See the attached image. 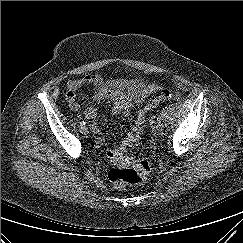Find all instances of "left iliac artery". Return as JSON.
<instances>
[{
  "mask_svg": "<svg viewBox=\"0 0 243 243\" xmlns=\"http://www.w3.org/2000/svg\"><path fill=\"white\" fill-rule=\"evenodd\" d=\"M157 121H158V122H161V119L158 117V118H157Z\"/></svg>",
  "mask_w": 243,
  "mask_h": 243,
  "instance_id": "left-iliac-artery-1",
  "label": "left iliac artery"
}]
</instances>
